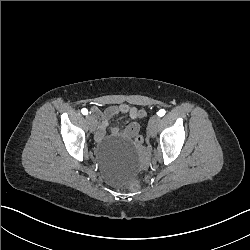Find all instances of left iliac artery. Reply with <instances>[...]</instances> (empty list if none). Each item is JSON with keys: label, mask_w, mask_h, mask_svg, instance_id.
Segmentation results:
<instances>
[{"label": "left iliac artery", "mask_w": 250, "mask_h": 250, "mask_svg": "<svg viewBox=\"0 0 250 250\" xmlns=\"http://www.w3.org/2000/svg\"><path fill=\"white\" fill-rule=\"evenodd\" d=\"M165 113H166V111L164 109H161V110H159V112L157 114H158V116L162 117L165 115Z\"/></svg>", "instance_id": "44dca946"}]
</instances>
